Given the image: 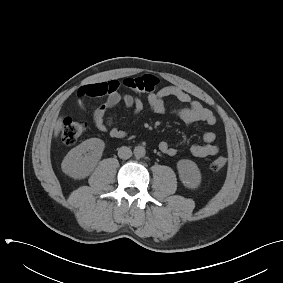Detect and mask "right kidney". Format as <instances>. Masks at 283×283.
Instances as JSON below:
<instances>
[{
    "label": "right kidney",
    "instance_id": "ca27d5eb",
    "mask_svg": "<svg viewBox=\"0 0 283 283\" xmlns=\"http://www.w3.org/2000/svg\"><path fill=\"white\" fill-rule=\"evenodd\" d=\"M105 147L98 138L85 140L71 149L62 161V171L74 179H82L93 171L100 160Z\"/></svg>",
    "mask_w": 283,
    "mask_h": 283
}]
</instances>
